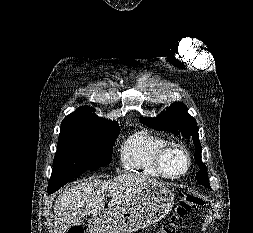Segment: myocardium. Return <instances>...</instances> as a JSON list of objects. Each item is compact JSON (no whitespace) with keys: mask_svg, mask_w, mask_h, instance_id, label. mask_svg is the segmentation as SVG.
I'll use <instances>...</instances> for the list:
<instances>
[{"mask_svg":"<svg viewBox=\"0 0 253 233\" xmlns=\"http://www.w3.org/2000/svg\"><path fill=\"white\" fill-rule=\"evenodd\" d=\"M181 155L184 159L183 169L178 172H172L169 169V162L174 155ZM191 155L189 151L180 145H168L159 151V153L155 157V165L158 170L161 172L163 177L169 179H177L189 171L191 167Z\"/></svg>","mask_w":253,"mask_h":233,"instance_id":"myocardium-1","label":"myocardium"}]
</instances>
